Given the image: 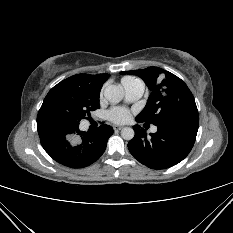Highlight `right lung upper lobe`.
Here are the masks:
<instances>
[{"mask_svg":"<svg viewBox=\"0 0 233 233\" xmlns=\"http://www.w3.org/2000/svg\"><path fill=\"white\" fill-rule=\"evenodd\" d=\"M109 76V74L104 73L97 75L77 74L73 77L101 90L103 83L109 78Z\"/></svg>","mask_w":233,"mask_h":233,"instance_id":"1","label":"right lung upper lobe"}]
</instances>
